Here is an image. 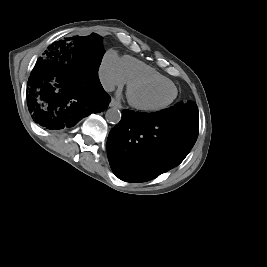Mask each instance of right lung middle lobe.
Returning a JSON list of instances; mask_svg holds the SVG:
<instances>
[{
    "mask_svg": "<svg viewBox=\"0 0 267 267\" xmlns=\"http://www.w3.org/2000/svg\"><path fill=\"white\" fill-rule=\"evenodd\" d=\"M63 43L72 47L81 55L86 56L89 61L97 65H100L102 57L105 53V50L102 46V37L94 33L85 37L68 38L67 42L59 41L55 45H51L50 48Z\"/></svg>",
    "mask_w": 267,
    "mask_h": 267,
    "instance_id": "right-lung-middle-lobe-1",
    "label": "right lung middle lobe"
}]
</instances>
